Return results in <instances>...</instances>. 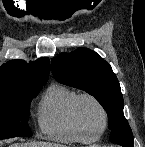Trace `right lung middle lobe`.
I'll use <instances>...</instances> for the list:
<instances>
[{"label":"right lung middle lobe","instance_id":"dd1d6c3e","mask_svg":"<svg viewBox=\"0 0 145 147\" xmlns=\"http://www.w3.org/2000/svg\"><path fill=\"white\" fill-rule=\"evenodd\" d=\"M42 87H25L0 93V140L32 135L28 125L29 106Z\"/></svg>","mask_w":145,"mask_h":147}]
</instances>
